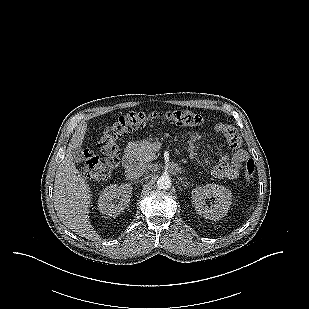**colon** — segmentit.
I'll list each match as a JSON object with an SVG mask.
<instances>
[{
    "mask_svg": "<svg viewBox=\"0 0 309 309\" xmlns=\"http://www.w3.org/2000/svg\"><path fill=\"white\" fill-rule=\"evenodd\" d=\"M158 120L190 127H198L204 124V119L200 114L189 110L154 112L150 114L130 112L120 117L103 131L99 140V147L104 154L103 158L98 157L90 150L83 151V172L90 178L108 179L120 163V150L117 141L127 133ZM254 177L255 163L252 159H248L245 165L244 179L246 182H252Z\"/></svg>",
    "mask_w": 309,
    "mask_h": 309,
    "instance_id": "obj_1",
    "label": "colon"
}]
</instances>
